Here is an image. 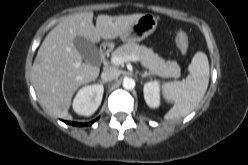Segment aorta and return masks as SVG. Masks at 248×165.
<instances>
[{
  "instance_id": "762f6f07",
  "label": "aorta",
  "mask_w": 248,
  "mask_h": 165,
  "mask_svg": "<svg viewBox=\"0 0 248 165\" xmlns=\"http://www.w3.org/2000/svg\"><path fill=\"white\" fill-rule=\"evenodd\" d=\"M123 87L126 90H132L135 87V81L132 78H125L123 80Z\"/></svg>"
}]
</instances>
